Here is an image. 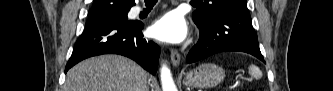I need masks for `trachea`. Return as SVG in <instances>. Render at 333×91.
Here are the masks:
<instances>
[{
    "mask_svg": "<svg viewBox=\"0 0 333 91\" xmlns=\"http://www.w3.org/2000/svg\"><path fill=\"white\" fill-rule=\"evenodd\" d=\"M157 2V0H145V3H153L155 4Z\"/></svg>",
    "mask_w": 333,
    "mask_h": 91,
    "instance_id": "obj_1",
    "label": "trachea"
}]
</instances>
